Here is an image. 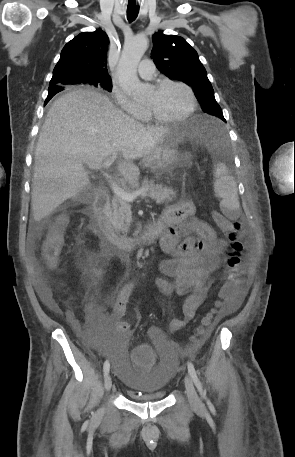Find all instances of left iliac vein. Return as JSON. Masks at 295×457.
<instances>
[{"mask_svg":"<svg viewBox=\"0 0 295 457\" xmlns=\"http://www.w3.org/2000/svg\"><path fill=\"white\" fill-rule=\"evenodd\" d=\"M184 382H185L186 394H187L188 401H189L191 407H193V408L199 407L201 405V401H200V398L195 390V387H194L193 382L189 375L185 376Z\"/></svg>","mask_w":295,"mask_h":457,"instance_id":"4c4485c4","label":"left iliac vein"}]
</instances>
